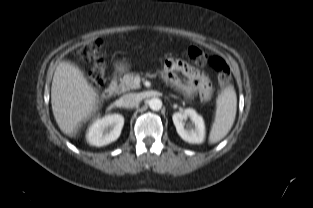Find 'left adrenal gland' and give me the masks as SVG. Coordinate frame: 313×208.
<instances>
[{"label":"left adrenal gland","mask_w":313,"mask_h":208,"mask_svg":"<svg viewBox=\"0 0 313 208\" xmlns=\"http://www.w3.org/2000/svg\"><path fill=\"white\" fill-rule=\"evenodd\" d=\"M170 96H171L172 98H174V99H178V97L175 96V95H173V94H171Z\"/></svg>","instance_id":"a2214340"}]
</instances>
